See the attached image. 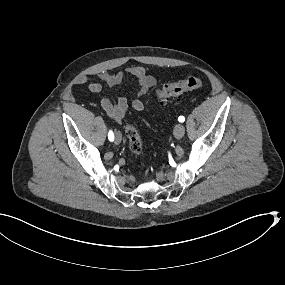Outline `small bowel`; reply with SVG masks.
Returning <instances> with one entry per match:
<instances>
[{
    "label": "small bowel",
    "mask_w": 285,
    "mask_h": 285,
    "mask_svg": "<svg viewBox=\"0 0 285 285\" xmlns=\"http://www.w3.org/2000/svg\"><path fill=\"white\" fill-rule=\"evenodd\" d=\"M128 74L136 78L138 84L137 98L132 101V107L135 111L140 112L144 109V103L141 100L149 90L156 84V79L148 74L143 67L135 66L128 70ZM98 78L104 84L114 87L119 85L124 74L101 72ZM76 83L80 86H85L90 92L99 95L102 91V84L97 81H92L86 76L77 78ZM100 104L106 114L116 123H121L128 111V101L125 97H119L115 102L106 97L100 98Z\"/></svg>",
    "instance_id": "c3829d8e"
}]
</instances>
